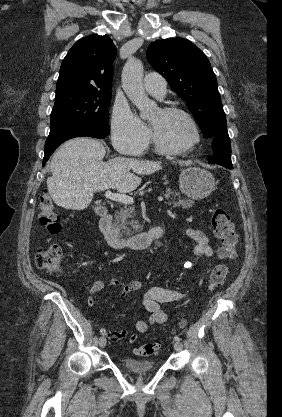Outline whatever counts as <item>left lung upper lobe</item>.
Masks as SVG:
<instances>
[{
	"mask_svg": "<svg viewBox=\"0 0 282 417\" xmlns=\"http://www.w3.org/2000/svg\"><path fill=\"white\" fill-rule=\"evenodd\" d=\"M146 55L152 67L186 101L206 138L226 129L216 76L199 48L184 38L164 39L151 43Z\"/></svg>",
	"mask_w": 282,
	"mask_h": 417,
	"instance_id": "obj_1",
	"label": "left lung upper lobe"
}]
</instances>
